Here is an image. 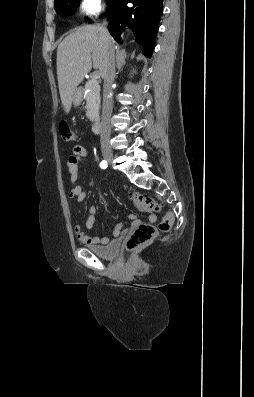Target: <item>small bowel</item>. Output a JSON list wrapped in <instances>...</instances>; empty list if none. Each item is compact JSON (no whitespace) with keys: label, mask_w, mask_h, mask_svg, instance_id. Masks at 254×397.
<instances>
[{"label":"small bowel","mask_w":254,"mask_h":397,"mask_svg":"<svg viewBox=\"0 0 254 397\" xmlns=\"http://www.w3.org/2000/svg\"><path fill=\"white\" fill-rule=\"evenodd\" d=\"M87 156V150L81 145H77L73 147V153L69 156L67 166L69 172V179L72 184V188L69 192L70 199H74L76 202L81 203L85 200L87 193L83 189V187L78 183L79 178V164L80 162ZM97 213V209L94 206H91L88 209V216L85 222V227L87 229H91L95 223V216ZM129 218L133 221L132 227H135L140 223L139 220L136 219L135 215L130 214ZM150 222L156 221L155 215L149 216ZM123 224L119 223L115 227L114 235L119 236L120 233H125L126 230H122ZM73 231L76 234L78 240L88 246H93L97 244H106L109 242V239L106 237H92L87 235L83 230L81 225L74 224Z\"/></svg>","instance_id":"small-bowel-1"}]
</instances>
